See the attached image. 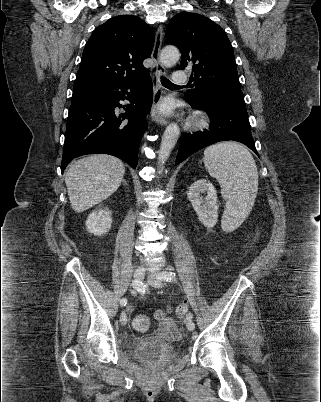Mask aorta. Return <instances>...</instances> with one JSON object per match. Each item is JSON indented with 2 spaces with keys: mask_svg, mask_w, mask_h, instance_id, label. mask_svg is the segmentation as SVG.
Masks as SVG:
<instances>
[{
  "mask_svg": "<svg viewBox=\"0 0 321 402\" xmlns=\"http://www.w3.org/2000/svg\"><path fill=\"white\" fill-rule=\"evenodd\" d=\"M180 58V52L175 46H166L162 49L160 54V61L162 65L167 68L175 65ZM180 135V129L176 123H171L167 126L162 136L160 149L158 151V160H159V173H161V167L168 159L172 149L177 143V140Z\"/></svg>",
  "mask_w": 321,
  "mask_h": 402,
  "instance_id": "762f6f07",
  "label": "aorta"
}]
</instances>
